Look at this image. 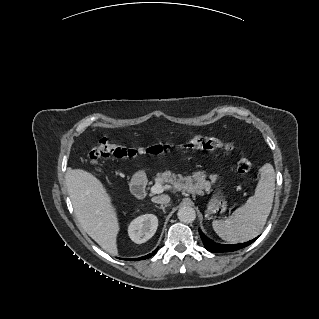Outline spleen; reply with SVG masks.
Returning <instances> with one entry per match:
<instances>
[{
  "mask_svg": "<svg viewBox=\"0 0 319 319\" xmlns=\"http://www.w3.org/2000/svg\"><path fill=\"white\" fill-rule=\"evenodd\" d=\"M260 179L254 196L236 209L225 220H214L213 229L219 237L228 242H245L256 237L263 229L272 209L275 192V172L271 164L260 170Z\"/></svg>",
  "mask_w": 319,
  "mask_h": 319,
  "instance_id": "obj_1",
  "label": "spleen"
}]
</instances>
